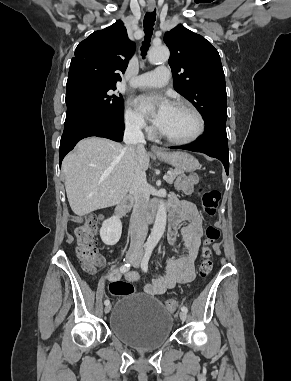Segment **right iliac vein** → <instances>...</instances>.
Here are the masks:
<instances>
[{"mask_svg":"<svg viewBox=\"0 0 291 381\" xmlns=\"http://www.w3.org/2000/svg\"><path fill=\"white\" fill-rule=\"evenodd\" d=\"M137 259V256L135 254H127L126 255V262H134ZM111 310V305H106L104 312L109 313Z\"/></svg>","mask_w":291,"mask_h":381,"instance_id":"obj_1","label":"right iliac vein"}]
</instances>
